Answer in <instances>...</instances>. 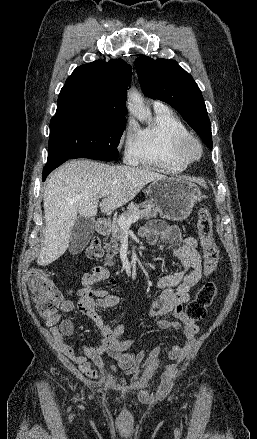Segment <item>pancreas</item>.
Segmentation results:
<instances>
[{
  "instance_id": "obj_1",
  "label": "pancreas",
  "mask_w": 257,
  "mask_h": 439,
  "mask_svg": "<svg viewBox=\"0 0 257 439\" xmlns=\"http://www.w3.org/2000/svg\"><path fill=\"white\" fill-rule=\"evenodd\" d=\"M139 208H143V210H139ZM159 212H160L159 208L152 200H146L144 203L140 205L130 204L127 210L122 214V216L130 217L134 214L139 213L140 218L148 220L157 217ZM123 235H124V231L123 228L119 225V218H118L117 220H114L112 223L111 240L109 243L105 244V248L107 252L106 265L108 266L114 265L113 257L116 256L119 251L118 242L122 240Z\"/></svg>"
}]
</instances>
